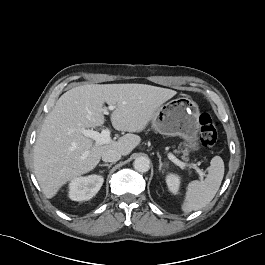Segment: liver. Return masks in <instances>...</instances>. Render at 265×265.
<instances>
[{"instance_id":"liver-1","label":"liver","mask_w":265,"mask_h":265,"mask_svg":"<svg viewBox=\"0 0 265 265\" xmlns=\"http://www.w3.org/2000/svg\"><path fill=\"white\" fill-rule=\"evenodd\" d=\"M176 94L146 84H87L65 92L46 116L34 146V173L44 195L54 197L68 181L93 170L107 150L130 154L141 142L133 133L143 131L160 106ZM104 103L115 106L112 126L129 133L96 144L79 129L104 124Z\"/></svg>"}]
</instances>
